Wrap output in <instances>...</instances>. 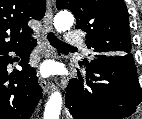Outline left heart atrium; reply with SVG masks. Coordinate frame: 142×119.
<instances>
[{
	"label": "left heart atrium",
	"instance_id": "left-heart-atrium-1",
	"mask_svg": "<svg viewBox=\"0 0 142 119\" xmlns=\"http://www.w3.org/2000/svg\"><path fill=\"white\" fill-rule=\"evenodd\" d=\"M44 74H47V69H44Z\"/></svg>",
	"mask_w": 142,
	"mask_h": 119
}]
</instances>
